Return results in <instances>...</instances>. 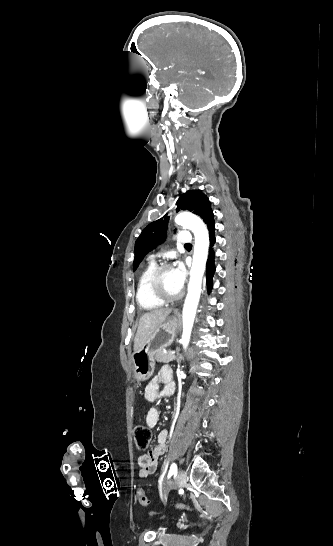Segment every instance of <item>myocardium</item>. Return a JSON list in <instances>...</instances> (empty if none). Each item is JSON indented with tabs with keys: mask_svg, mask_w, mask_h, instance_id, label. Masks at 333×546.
<instances>
[{
	"mask_svg": "<svg viewBox=\"0 0 333 546\" xmlns=\"http://www.w3.org/2000/svg\"><path fill=\"white\" fill-rule=\"evenodd\" d=\"M168 270H171V266L169 265H161L157 267L155 271L153 272L149 281V289L152 296L163 303H171V302L178 301L183 296L182 291H180V293L175 296H168L167 294H165L162 288L161 279L163 274Z\"/></svg>",
	"mask_w": 333,
	"mask_h": 546,
	"instance_id": "f54148a6",
	"label": "myocardium"
}]
</instances>
